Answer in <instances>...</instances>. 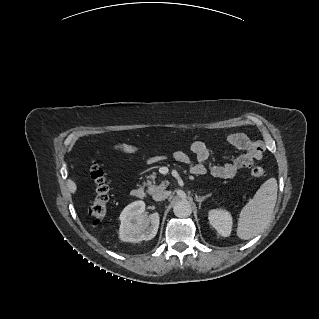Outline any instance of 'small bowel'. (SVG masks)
<instances>
[{"instance_id": "obj_1", "label": "small bowel", "mask_w": 319, "mask_h": 319, "mask_svg": "<svg viewBox=\"0 0 319 319\" xmlns=\"http://www.w3.org/2000/svg\"><path fill=\"white\" fill-rule=\"evenodd\" d=\"M225 145L242 150V153L224 165L211 163L210 151L205 143L201 141H195L191 144V152L196 158L195 162L186 152L181 150L174 152L173 156L178 162L190 165V171L195 175L203 174L209 170L216 178L232 179L237 175L239 169H249L263 155L262 145L244 134L235 133L229 135L225 139ZM113 149L130 155L138 153L137 147L121 143L113 145Z\"/></svg>"}]
</instances>
